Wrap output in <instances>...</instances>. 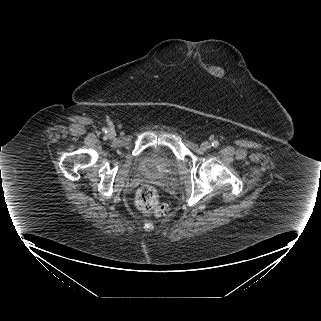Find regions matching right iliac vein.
I'll use <instances>...</instances> for the list:
<instances>
[{
  "label": "right iliac vein",
  "mask_w": 321,
  "mask_h": 321,
  "mask_svg": "<svg viewBox=\"0 0 321 321\" xmlns=\"http://www.w3.org/2000/svg\"><path fill=\"white\" fill-rule=\"evenodd\" d=\"M108 135H109L110 137H114V136H115V132H114L113 130H110V131L108 132Z\"/></svg>",
  "instance_id": "obj_1"
}]
</instances>
